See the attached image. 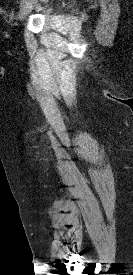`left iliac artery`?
<instances>
[{"label": "left iliac artery", "instance_id": "44dca946", "mask_svg": "<svg viewBox=\"0 0 133 275\" xmlns=\"http://www.w3.org/2000/svg\"><path fill=\"white\" fill-rule=\"evenodd\" d=\"M26 2L27 0H21L20 7H22Z\"/></svg>", "mask_w": 133, "mask_h": 275}]
</instances>
